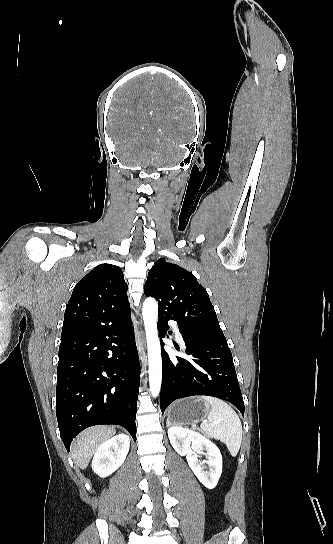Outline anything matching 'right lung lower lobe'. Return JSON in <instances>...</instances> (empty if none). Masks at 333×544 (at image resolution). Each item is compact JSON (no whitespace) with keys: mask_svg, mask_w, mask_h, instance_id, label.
<instances>
[{"mask_svg":"<svg viewBox=\"0 0 333 544\" xmlns=\"http://www.w3.org/2000/svg\"><path fill=\"white\" fill-rule=\"evenodd\" d=\"M140 364L130 314L117 323L61 339L56 415L70 443L83 429L117 424L136 439Z\"/></svg>","mask_w":333,"mask_h":544,"instance_id":"obj_1","label":"right lung lower lobe"}]
</instances>
